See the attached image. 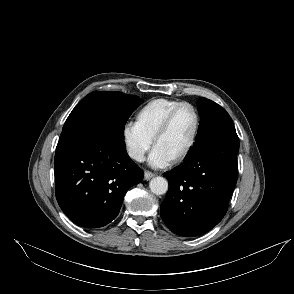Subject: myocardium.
I'll use <instances>...</instances> for the list:
<instances>
[{
	"label": "myocardium",
	"mask_w": 294,
	"mask_h": 294,
	"mask_svg": "<svg viewBox=\"0 0 294 294\" xmlns=\"http://www.w3.org/2000/svg\"><path fill=\"white\" fill-rule=\"evenodd\" d=\"M184 107H188L191 109V111L193 112L194 116H195V128H194V132L192 135V138L189 142V144L187 145V147L183 150L182 153H180L174 160L173 163H180L183 160H185L190 153L192 152V150L194 149L198 139H199V135H200V131H201V125H202V121H201V115L197 109V107L190 103V102H181L178 105H176L174 108H172L167 115L165 116V118L163 119V121L161 122L160 126L158 127V129L156 130L154 136H153V145L155 146L157 141L168 131L169 127L171 126V123L174 119V117L176 116V114Z\"/></svg>",
	"instance_id": "f54148a6"
}]
</instances>
